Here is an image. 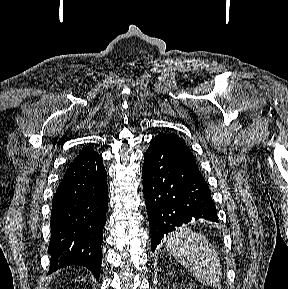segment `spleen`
Instances as JSON below:
<instances>
[{"mask_svg":"<svg viewBox=\"0 0 288 289\" xmlns=\"http://www.w3.org/2000/svg\"><path fill=\"white\" fill-rule=\"evenodd\" d=\"M166 249L200 283L212 285L220 280L218 253L204 235L186 226L179 227L168 236Z\"/></svg>","mask_w":288,"mask_h":289,"instance_id":"3e777b00","label":"spleen"}]
</instances>
